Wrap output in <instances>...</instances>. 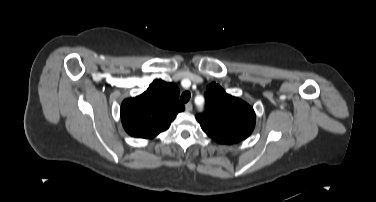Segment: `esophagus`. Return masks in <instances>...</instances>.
I'll list each match as a JSON object with an SVG mask.
<instances>
[{
    "label": "esophagus",
    "instance_id": "1",
    "mask_svg": "<svg viewBox=\"0 0 376 202\" xmlns=\"http://www.w3.org/2000/svg\"><path fill=\"white\" fill-rule=\"evenodd\" d=\"M185 108H186V111H188V112H190V111H192V109H193V105H192V103H187L186 105H185Z\"/></svg>",
    "mask_w": 376,
    "mask_h": 202
}]
</instances>
